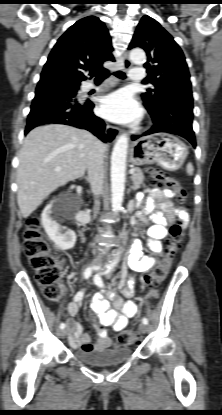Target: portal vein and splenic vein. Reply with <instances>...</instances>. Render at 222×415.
Returning a JSON list of instances; mask_svg holds the SVG:
<instances>
[{"label": "portal vein and splenic vein", "instance_id": "18ae733b", "mask_svg": "<svg viewBox=\"0 0 222 415\" xmlns=\"http://www.w3.org/2000/svg\"><path fill=\"white\" fill-rule=\"evenodd\" d=\"M57 170H60V169H57ZM134 172H135L134 169H130V171H129L130 174H134Z\"/></svg>", "mask_w": 222, "mask_h": 415}]
</instances>
